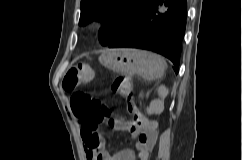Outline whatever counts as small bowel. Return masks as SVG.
Listing matches in <instances>:
<instances>
[{
  "mask_svg": "<svg viewBox=\"0 0 242 160\" xmlns=\"http://www.w3.org/2000/svg\"><path fill=\"white\" fill-rule=\"evenodd\" d=\"M78 123L81 128L86 160H149V155L157 139L155 122L142 113H136L132 121L112 119L109 124L113 129L130 133L136 140V150L127 148L115 155H110L106 150L104 139L99 134H96L97 140L93 146H89L86 140V133H89V131L82 126L80 119Z\"/></svg>",
  "mask_w": 242,
  "mask_h": 160,
  "instance_id": "c3829d8e",
  "label": "small bowel"
}]
</instances>
